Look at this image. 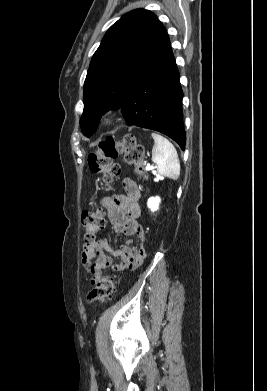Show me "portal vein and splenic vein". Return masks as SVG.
<instances>
[{"label": "portal vein and splenic vein", "mask_w": 267, "mask_h": 391, "mask_svg": "<svg viewBox=\"0 0 267 391\" xmlns=\"http://www.w3.org/2000/svg\"><path fill=\"white\" fill-rule=\"evenodd\" d=\"M146 169H151V166H150V165H147Z\"/></svg>", "instance_id": "1"}]
</instances>
